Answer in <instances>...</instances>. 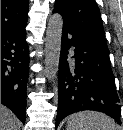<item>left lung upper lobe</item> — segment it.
<instances>
[{"label": "left lung upper lobe", "instance_id": "obj_1", "mask_svg": "<svg viewBox=\"0 0 123 130\" xmlns=\"http://www.w3.org/2000/svg\"><path fill=\"white\" fill-rule=\"evenodd\" d=\"M54 11L78 36L106 46L101 14L95 0H56Z\"/></svg>", "mask_w": 123, "mask_h": 130}]
</instances>
